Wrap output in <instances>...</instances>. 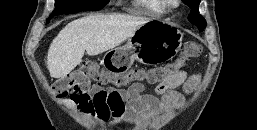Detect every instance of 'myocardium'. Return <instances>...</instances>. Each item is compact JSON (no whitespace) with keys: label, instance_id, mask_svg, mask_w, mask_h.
I'll return each mask as SVG.
<instances>
[{"label":"myocardium","instance_id":"obj_1","mask_svg":"<svg viewBox=\"0 0 257 130\" xmlns=\"http://www.w3.org/2000/svg\"><path fill=\"white\" fill-rule=\"evenodd\" d=\"M165 3L170 8H177V7H179L181 1L180 0H165Z\"/></svg>","mask_w":257,"mask_h":130}]
</instances>
